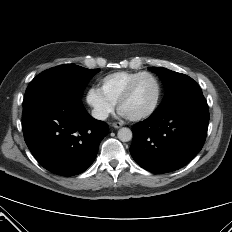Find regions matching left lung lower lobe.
Wrapping results in <instances>:
<instances>
[{"mask_svg":"<svg viewBox=\"0 0 232 232\" xmlns=\"http://www.w3.org/2000/svg\"><path fill=\"white\" fill-rule=\"evenodd\" d=\"M208 122L202 90L189 92L133 126L130 153L137 164L150 172L175 171L200 152Z\"/></svg>","mask_w":232,"mask_h":232,"instance_id":"left-lung-lower-lobe-1","label":"left lung lower lobe"}]
</instances>
